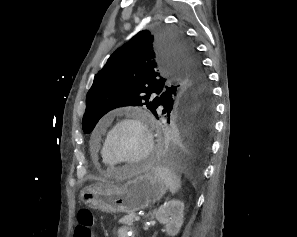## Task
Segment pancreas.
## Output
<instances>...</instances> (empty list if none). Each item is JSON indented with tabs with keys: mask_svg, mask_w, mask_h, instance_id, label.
<instances>
[{
	"mask_svg": "<svg viewBox=\"0 0 297 237\" xmlns=\"http://www.w3.org/2000/svg\"><path fill=\"white\" fill-rule=\"evenodd\" d=\"M137 217L136 213H130L119 220V223L127 226L133 225L135 218Z\"/></svg>",
	"mask_w": 297,
	"mask_h": 237,
	"instance_id": "cf45deb5",
	"label": "pancreas"
}]
</instances>
